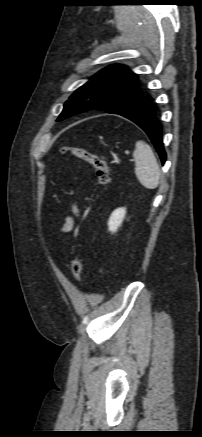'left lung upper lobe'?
<instances>
[{"instance_id": "obj_1", "label": "left lung upper lobe", "mask_w": 202, "mask_h": 437, "mask_svg": "<svg viewBox=\"0 0 202 437\" xmlns=\"http://www.w3.org/2000/svg\"><path fill=\"white\" fill-rule=\"evenodd\" d=\"M141 95L134 73L123 65H110L70 96L57 121L90 109L107 112Z\"/></svg>"}]
</instances>
